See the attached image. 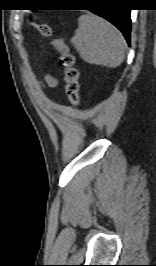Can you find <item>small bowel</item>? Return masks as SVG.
<instances>
[{
  "mask_svg": "<svg viewBox=\"0 0 156 266\" xmlns=\"http://www.w3.org/2000/svg\"><path fill=\"white\" fill-rule=\"evenodd\" d=\"M45 88H54L58 85V80L52 75H46L42 81Z\"/></svg>",
  "mask_w": 156,
  "mask_h": 266,
  "instance_id": "1",
  "label": "small bowel"
}]
</instances>
